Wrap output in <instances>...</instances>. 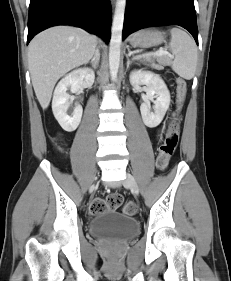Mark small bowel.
I'll return each mask as SVG.
<instances>
[{
    "label": "small bowel",
    "mask_w": 231,
    "mask_h": 281,
    "mask_svg": "<svg viewBox=\"0 0 231 281\" xmlns=\"http://www.w3.org/2000/svg\"><path fill=\"white\" fill-rule=\"evenodd\" d=\"M176 115V112H172V117H174Z\"/></svg>",
    "instance_id": "c3829d8e"
}]
</instances>
